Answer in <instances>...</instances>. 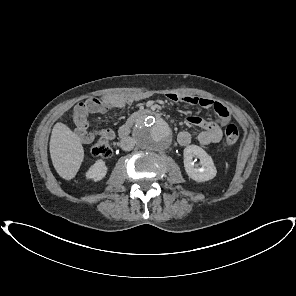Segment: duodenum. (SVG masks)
Returning a JSON list of instances; mask_svg holds the SVG:
<instances>
[{
    "label": "duodenum",
    "instance_id": "410a0bca",
    "mask_svg": "<svg viewBox=\"0 0 296 296\" xmlns=\"http://www.w3.org/2000/svg\"><path fill=\"white\" fill-rule=\"evenodd\" d=\"M147 115L158 116V113L149 108H144L136 111L131 115V117L127 120V122L123 126H121L119 129V137L121 139V142H124L127 139L131 131V128L135 124L136 120L140 117L147 116Z\"/></svg>",
    "mask_w": 296,
    "mask_h": 296
}]
</instances>
